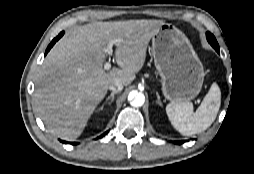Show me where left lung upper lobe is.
<instances>
[{
	"label": "left lung upper lobe",
	"mask_w": 254,
	"mask_h": 174,
	"mask_svg": "<svg viewBox=\"0 0 254 174\" xmlns=\"http://www.w3.org/2000/svg\"><path fill=\"white\" fill-rule=\"evenodd\" d=\"M206 36H207V40L208 42L211 44V46L214 48V49H219V45L217 43V40L215 39V37L213 36V34L207 32L206 33Z\"/></svg>",
	"instance_id": "1"
}]
</instances>
